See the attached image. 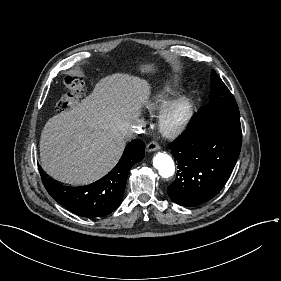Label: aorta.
I'll list each match as a JSON object with an SVG mask.
<instances>
[{"mask_svg":"<svg viewBox=\"0 0 281 281\" xmlns=\"http://www.w3.org/2000/svg\"><path fill=\"white\" fill-rule=\"evenodd\" d=\"M153 165L163 178H169L173 176L175 172L174 162L172 158L166 153H158L153 158Z\"/></svg>","mask_w":281,"mask_h":281,"instance_id":"obj_1","label":"aorta"}]
</instances>
